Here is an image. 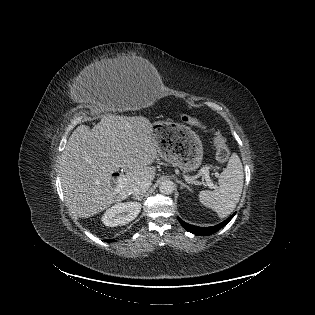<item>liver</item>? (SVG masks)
Masks as SVG:
<instances>
[{
  "label": "liver",
  "mask_w": 315,
  "mask_h": 315,
  "mask_svg": "<svg viewBox=\"0 0 315 315\" xmlns=\"http://www.w3.org/2000/svg\"><path fill=\"white\" fill-rule=\"evenodd\" d=\"M116 63V62H115ZM144 116L107 115L92 129L78 126L68 139L60 159V178L69 210L88 218L128 197L142 180H153L151 164L158 142ZM126 170L124 186L114 194L112 174Z\"/></svg>",
  "instance_id": "obj_1"
}]
</instances>
